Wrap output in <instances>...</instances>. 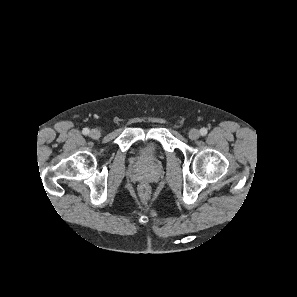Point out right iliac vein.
<instances>
[{"label": "right iliac vein", "mask_w": 297, "mask_h": 297, "mask_svg": "<svg viewBox=\"0 0 297 297\" xmlns=\"http://www.w3.org/2000/svg\"><path fill=\"white\" fill-rule=\"evenodd\" d=\"M100 136H101V132L99 129H92L90 131V137L92 139H98V138H100Z\"/></svg>", "instance_id": "right-iliac-vein-1"}]
</instances>
